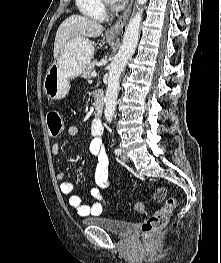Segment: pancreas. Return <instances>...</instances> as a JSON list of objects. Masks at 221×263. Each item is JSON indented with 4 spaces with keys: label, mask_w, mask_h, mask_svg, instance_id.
I'll list each match as a JSON object with an SVG mask.
<instances>
[{
    "label": "pancreas",
    "mask_w": 221,
    "mask_h": 263,
    "mask_svg": "<svg viewBox=\"0 0 221 263\" xmlns=\"http://www.w3.org/2000/svg\"><path fill=\"white\" fill-rule=\"evenodd\" d=\"M97 65V61H92L87 69L82 73L81 77L84 79H90L92 76L91 74L95 72V66Z\"/></svg>",
    "instance_id": "pancreas-1"
}]
</instances>
